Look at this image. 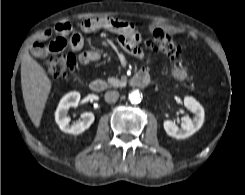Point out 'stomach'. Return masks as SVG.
<instances>
[{
    "mask_svg": "<svg viewBox=\"0 0 245 195\" xmlns=\"http://www.w3.org/2000/svg\"><path fill=\"white\" fill-rule=\"evenodd\" d=\"M174 75L178 78H183V72L181 70H175Z\"/></svg>",
    "mask_w": 245,
    "mask_h": 195,
    "instance_id": "obj_1",
    "label": "stomach"
}]
</instances>
